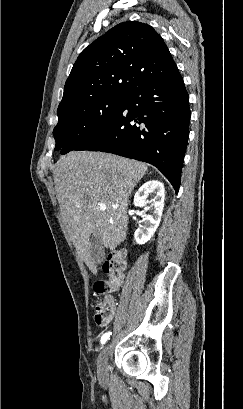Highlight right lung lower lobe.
I'll return each mask as SVG.
<instances>
[{
  "mask_svg": "<svg viewBox=\"0 0 243 409\" xmlns=\"http://www.w3.org/2000/svg\"><path fill=\"white\" fill-rule=\"evenodd\" d=\"M190 117L189 96L177 69L133 89L111 123L74 150L109 152L150 163L178 192Z\"/></svg>",
  "mask_w": 243,
  "mask_h": 409,
  "instance_id": "right-lung-lower-lobe-1",
  "label": "right lung lower lobe"
}]
</instances>
